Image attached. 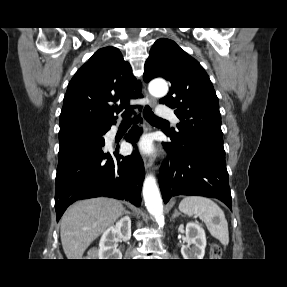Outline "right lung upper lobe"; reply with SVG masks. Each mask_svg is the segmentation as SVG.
<instances>
[{"instance_id":"1","label":"right lung upper lobe","mask_w":287,"mask_h":287,"mask_svg":"<svg viewBox=\"0 0 287 287\" xmlns=\"http://www.w3.org/2000/svg\"><path fill=\"white\" fill-rule=\"evenodd\" d=\"M140 89V81L133 76L130 64L124 61L119 49L101 48L69 82L60 127L77 122L110 125L117 118L114 112L130 110L133 106L129 100L142 97Z\"/></svg>"}]
</instances>
